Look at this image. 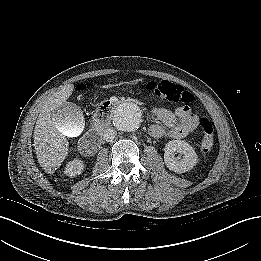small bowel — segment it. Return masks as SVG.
I'll use <instances>...</instances> for the list:
<instances>
[{
  "label": "small bowel",
  "instance_id": "c3829d8e",
  "mask_svg": "<svg viewBox=\"0 0 261 261\" xmlns=\"http://www.w3.org/2000/svg\"><path fill=\"white\" fill-rule=\"evenodd\" d=\"M154 115L164 125L154 124L149 133L153 137H169L181 139L198 129L199 117L188 106L176 108L174 111L166 108H155Z\"/></svg>",
  "mask_w": 261,
  "mask_h": 261
}]
</instances>
